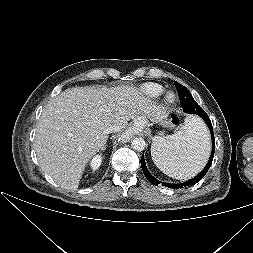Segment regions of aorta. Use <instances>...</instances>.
Masks as SVG:
<instances>
[{
	"instance_id": "obj_1",
	"label": "aorta",
	"mask_w": 253,
	"mask_h": 253,
	"mask_svg": "<svg viewBox=\"0 0 253 253\" xmlns=\"http://www.w3.org/2000/svg\"><path fill=\"white\" fill-rule=\"evenodd\" d=\"M131 146L136 151H143L146 147V143L143 138H134L131 141Z\"/></svg>"
}]
</instances>
